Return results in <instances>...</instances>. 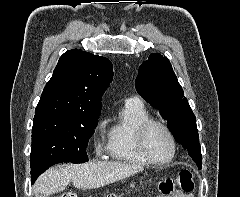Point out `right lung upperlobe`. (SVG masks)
Returning <instances> with one entry per match:
<instances>
[{"label": "right lung upper lobe", "mask_w": 240, "mask_h": 197, "mask_svg": "<svg viewBox=\"0 0 240 197\" xmlns=\"http://www.w3.org/2000/svg\"><path fill=\"white\" fill-rule=\"evenodd\" d=\"M113 78L111 62L80 49L64 53L46 84L35 115L99 116L102 95Z\"/></svg>", "instance_id": "cb5924a9"}]
</instances>
